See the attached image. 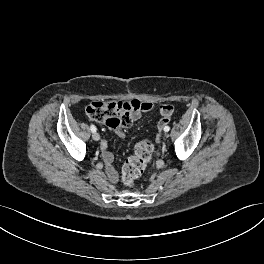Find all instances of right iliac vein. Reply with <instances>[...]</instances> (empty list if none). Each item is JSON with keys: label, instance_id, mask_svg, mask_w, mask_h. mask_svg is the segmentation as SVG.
Returning <instances> with one entry per match:
<instances>
[{"label": "right iliac vein", "instance_id": "63e3f726", "mask_svg": "<svg viewBox=\"0 0 264 264\" xmlns=\"http://www.w3.org/2000/svg\"><path fill=\"white\" fill-rule=\"evenodd\" d=\"M92 138H93V140H95V141H99V140H100V135H99V133H97V132H93V134H92Z\"/></svg>", "mask_w": 264, "mask_h": 264}]
</instances>
